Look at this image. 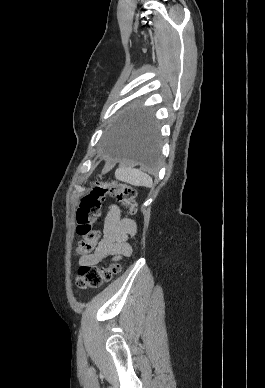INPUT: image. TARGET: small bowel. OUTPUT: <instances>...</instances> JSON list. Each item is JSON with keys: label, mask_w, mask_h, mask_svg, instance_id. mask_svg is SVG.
<instances>
[{"label": "small bowel", "mask_w": 265, "mask_h": 388, "mask_svg": "<svg viewBox=\"0 0 265 388\" xmlns=\"http://www.w3.org/2000/svg\"><path fill=\"white\" fill-rule=\"evenodd\" d=\"M136 229L135 222L128 218H121L119 207L112 205L104 219L103 237L93 252L79 258V265L95 266L105 262L109 257L116 260L122 256H130L132 248L128 238L135 235Z\"/></svg>", "instance_id": "1"}]
</instances>
